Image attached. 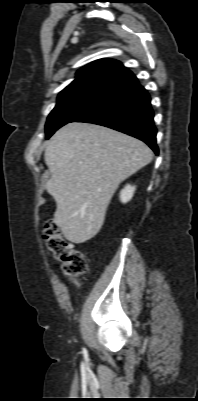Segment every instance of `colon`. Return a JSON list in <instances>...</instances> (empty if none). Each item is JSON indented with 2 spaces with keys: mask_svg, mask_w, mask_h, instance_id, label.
<instances>
[{
  "mask_svg": "<svg viewBox=\"0 0 198 401\" xmlns=\"http://www.w3.org/2000/svg\"><path fill=\"white\" fill-rule=\"evenodd\" d=\"M43 239L53 257L63 264L66 275L75 278L86 272L84 255L63 238L56 221L49 219L45 222Z\"/></svg>",
  "mask_w": 198,
  "mask_h": 401,
  "instance_id": "colon-1",
  "label": "colon"
}]
</instances>
